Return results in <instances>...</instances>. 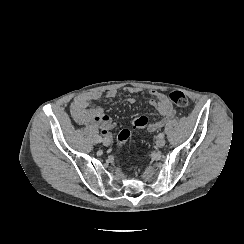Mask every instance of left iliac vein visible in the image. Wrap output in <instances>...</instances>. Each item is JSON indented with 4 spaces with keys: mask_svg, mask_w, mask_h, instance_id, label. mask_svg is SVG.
<instances>
[{
    "mask_svg": "<svg viewBox=\"0 0 244 244\" xmlns=\"http://www.w3.org/2000/svg\"><path fill=\"white\" fill-rule=\"evenodd\" d=\"M165 145V140L163 138H157L156 146L162 148Z\"/></svg>",
    "mask_w": 244,
    "mask_h": 244,
    "instance_id": "left-iliac-vein-1",
    "label": "left iliac vein"
}]
</instances>
